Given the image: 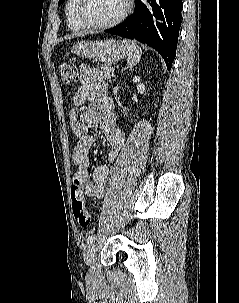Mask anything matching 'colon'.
<instances>
[{"label": "colon", "mask_w": 239, "mask_h": 303, "mask_svg": "<svg viewBox=\"0 0 239 303\" xmlns=\"http://www.w3.org/2000/svg\"><path fill=\"white\" fill-rule=\"evenodd\" d=\"M61 80L64 85H71L78 79V72L75 66L68 61H63L59 65ZM72 209L75 219L80 226L89 227L92 224L91 215L85 208L82 191L77 187H72L71 190Z\"/></svg>", "instance_id": "obj_1"}]
</instances>
